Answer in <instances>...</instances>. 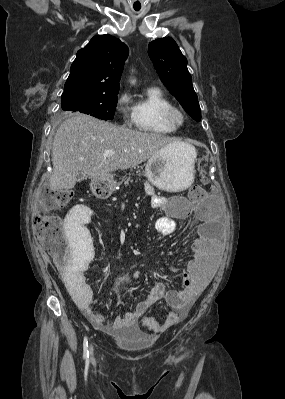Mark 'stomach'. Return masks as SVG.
Wrapping results in <instances>:
<instances>
[{"mask_svg": "<svg viewBox=\"0 0 285 399\" xmlns=\"http://www.w3.org/2000/svg\"><path fill=\"white\" fill-rule=\"evenodd\" d=\"M196 150L187 143L172 144L157 152L145 165V175L156 187L166 191H180L194 180ZM118 186L112 175L91 180V190L99 199H106Z\"/></svg>", "mask_w": 285, "mask_h": 399, "instance_id": "0dacf381", "label": "stomach"}]
</instances>
